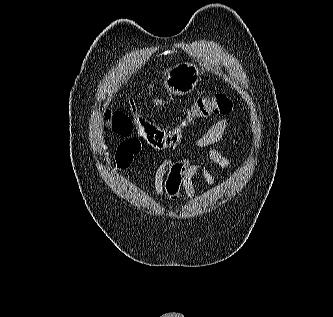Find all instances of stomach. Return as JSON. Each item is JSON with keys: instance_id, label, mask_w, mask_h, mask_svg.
<instances>
[{"instance_id": "stomach-1", "label": "stomach", "mask_w": 333, "mask_h": 317, "mask_svg": "<svg viewBox=\"0 0 333 317\" xmlns=\"http://www.w3.org/2000/svg\"><path fill=\"white\" fill-rule=\"evenodd\" d=\"M198 78L199 70L196 65L180 63L168 72L164 86L170 94L185 95L195 88Z\"/></svg>"}]
</instances>
